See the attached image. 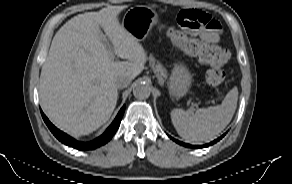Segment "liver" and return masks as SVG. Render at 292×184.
Wrapping results in <instances>:
<instances>
[{
  "label": "liver",
  "instance_id": "1",
  "mask_svg": "<svg viewBox=\"0 0 292 184\" xmlns=\"http://www.w3.org/2000/svg\"><path fill=\"white\" fill-rule=\"evenodd\" d=\"M124 8L79 14L52 40L41 70L39 97L51 122L71 135H88L106 123L116 107L117 79L132 80L144 68L145 49L117 18ZM100 27L113 52L127 61L116 62L110 56Z\"/></svg>",
  "mask_w": 292,
  "mask_h": 184
}]
</instances>
